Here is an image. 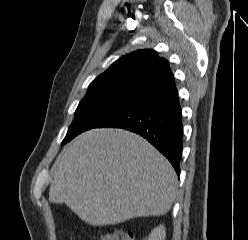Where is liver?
Wrapping results in <instances>:
<instances>
[{
    "label": "liver",
    "instance_id": "6515ba94",
    "mask_svg": "<svg viewBox=\"0 0 248 240\" xmlns=\"http://www.w3.org/2000/svg\"><path fill=\"white\" fill-rule=\"evenodd\" d=\"M169 161L141 136L100 128L77 136L54 164L52 203L92 226L166 214L177 193Z\"/></svg>",
    "mask_w": 248,
    "mask_h": 240
}]
</instances>
